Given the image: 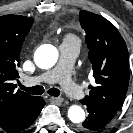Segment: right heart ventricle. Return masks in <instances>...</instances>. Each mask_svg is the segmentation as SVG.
I'll use <instances>...</instances> for the list:
<instances>
[{
  "label": "right heart ventricle",
  "instance_id": "obj_1",
  "mask_svg": "<svg viewBox=\"0 0 133 133\" xmlns=\"http://www.w3.org/2000/svg\"><path fill=\"white\" fill-rule=\"evenodd\" d=\"M64 43L77 44V45L80 44L78 38L76 36L72 35V34H68V35L65 36Z\"/></svg>",
  "mask_w": 133,
  "mask_h": 133
}]
</instances>
